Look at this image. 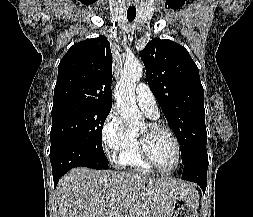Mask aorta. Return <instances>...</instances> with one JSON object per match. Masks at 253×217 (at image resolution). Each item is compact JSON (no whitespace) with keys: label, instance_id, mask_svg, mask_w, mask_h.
<instances>
[{"label":"aorta","instance_id":"obj_1","mask_svg":"<svg viewBox=\"0 0 253 217\" xmlns=\"http://www.w3.org/2000/svg\"><path fill=\"white\" fill-rule=\"evenodd\" d=\"M143 75V66L138 62H126L115 87V100L120 115L127 126H137L144 120L136 105L135 86Z\"/></svg>","mask_w":253,"mask_h":217}]
</instances>
